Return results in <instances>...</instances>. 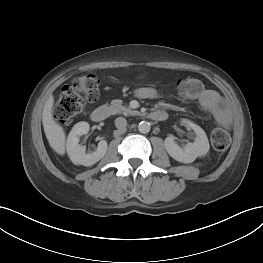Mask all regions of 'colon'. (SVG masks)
<instances>
[{
  "instance_id": "colon-1",
  "label": "colon",
  "mask_w": 263,
  "mask_h": 263,
  "mask_svg": "<svg viewBox=\"0 0 263 263\" xmlns=\"http://www.w3.org/2000/svg\"><path fill=\"white\" fill-rule=\"evenodd\" d=\"M177 89L183 99H193L203 94L204 83L197 78L188 77L179 80ZM98 96L99 79L95 75L89 74L74 79L62 88L54 108L55 119L61 123L70 122L82 112L86 103L95 102ZM230 142L231 137L224 129L217 128L211 134V144L217 151L226 150Z\"/></svg>"
}]
</instances>
